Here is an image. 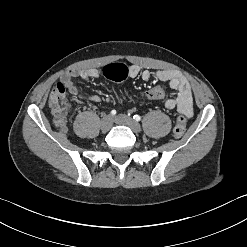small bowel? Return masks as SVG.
Here are the masks:
<instances>
[{
  "mask_svg": "<svg viewBox=\"0 0 247 247\" xmlns=\"http://www.w3.org/2000/svg\"><path fill=\"white\" fill-rule=\"evenodd\" d=\"M100 76V71L95 68L89 69H73L71 71L65 72L61 78L60 82L65 89L75 98L81 100H88L91 102H99L100 97L93 95L85 97L74 84V78H80L82 80L96 79ZM129 76L132 78L141 77L144 81H148L152 77V72L150 70H141L137 65H131L129 67ZM155 77L163 82H167L169 87L177 91V96L167 98L164 105L167 109L176 108L177 111L186 116L191 117L193 114V97L191 86L184 75L174 69L159 70L155 73Z\"/></svg>",
  "mask_w": 247,
  "mask_h": 247,
  "instance_id": "obj_1",
  "label": "small bowel"
}]
</instances>
